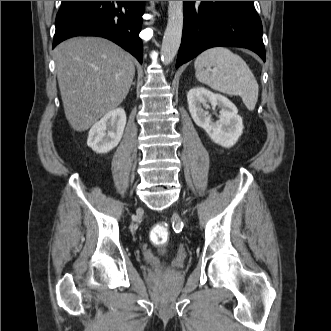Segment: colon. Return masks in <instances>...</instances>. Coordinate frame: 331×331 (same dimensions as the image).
Masks as SVG:
<instances>
[{
    "label": "colon",
    "mask_w": 331,
    "mask_h": 331,
    "mask_svg": "<svg viewBox=\"0 0 331 331\" xmlns=\"http://www.w3.org/2000/svg\"><path fill=\"white\" fill-rule=\"evenodd\" d=\"M169 237V229L163 223L156 224L155 226H153L149 233L150 241L158 246L165 245L168 242Z\"/></svg>",
    "instance_id": "5ec220e1"
}]
</instances>
